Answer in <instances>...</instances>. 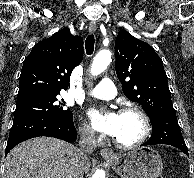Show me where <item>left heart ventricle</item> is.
I'll return each instance as SVG.
<instances>
[{"mask_svg":"<svg viewBox=\"0 0 194 178\" xmlns=\"http://www.w3.org/2000/svg\"><path fill=\"white\" fill-rule=\"evenodd\" d=\"M143 131L141 119L134 113H119L118 129L114 138L124 143L137 140Z\"/></svg>","mask_w":194,"mask_h":178,"instance_id":"left-heart-ventricle-1","label":"left heart ventricle"}]
</instances>
